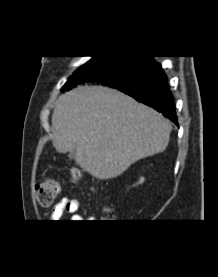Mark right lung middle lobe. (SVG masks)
I'll return each mask as SVG.
<instances>
[{"label": "right lung middle lobe", "instance_id": "dd1d6c3e", "mask_svg": "<svg viewBox=\"0 0 218 277\" xmlns=\"http://www.w3.org/2000/svg\"><path fill=\"white\" fill-rule=\"evenodd\" d=\"M155 61L150 56H93L65 83L61 91L79 85L86 74H98L102 83L116 88L129 84L147 72Z\"/></svg>", "mask_w": 218, "mask_h": 277}]
</instances>
